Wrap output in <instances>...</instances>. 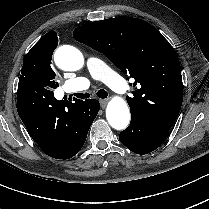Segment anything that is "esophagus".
Masks as SVG:
<instances>
[{
	"label": "esophagus",
	"mask_w": 209,
	"mask_h": 209,
	"mask_svg": "<svg viewBox=\"0 0 209 209\" xmlns=\"http://www.w3.org/2000/svg\"><path fill=\"white\" fill-rule=\"evenodd\" d=\"M100 103H101L102 107L104 108L106 106V104L108 103V99H101Z\"/></svg>",
	"instance_id": "34e87169"
}]
</instances>
